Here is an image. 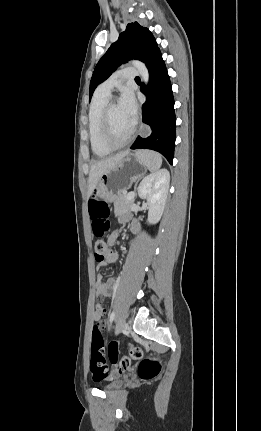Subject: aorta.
I'll use <instances>...</instances> for the list:
<instances>
[{
	"mask_svg": "<svg viewBox=\"0 0 261 431\" xmlns=\"http://www.w3.org/2000/svg\"><path fill=\"white\" fill-rule=\"evenodd\" d=\"M132 65L138 70L141 75V78L145 84L149 81V72L146 65L140 61H132Z\"/></svg>",
	"mask_w": 261,
	"mask_h": 431,
	"instance_id": "1",
	"label": "aorta"
}]
</instances>
